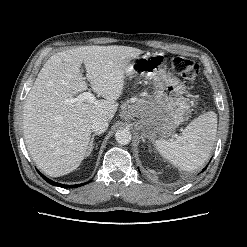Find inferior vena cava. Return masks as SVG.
Returning a JSON list of instances; mask_svg holds the SVG:
<instances>
[{
	"label": "inferior vena cava",
	"mask_w": 247,
	"mask_h": 247,
	"mask_svg": "<svg viewBox=\"0 0 247 247\" xmlns=\"http://www.w3.org/2000/svg\"><path fill=\"white\" fill-rule=\"evenodd\" d=\"M108 121L103 117H96L92 120L91 129L93 132L101 134L108 128Z\"/></svg>",
	"instance_id": "1"
}]
</instances>
